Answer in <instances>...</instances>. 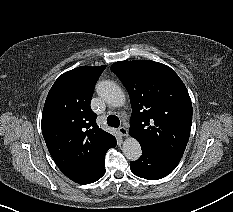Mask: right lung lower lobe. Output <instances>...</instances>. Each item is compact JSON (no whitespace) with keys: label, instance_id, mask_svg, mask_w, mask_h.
Segmentation results:
<instances>
[{"label":"right lung lower lobe","instance_id":"1","mask_svg":"<svg viewBox=\"0 0 233 212\" xmlns=\"http://www.w3.org/2000/svg\"><path fill=\"white\" fill-rule=\"evenodd\" d=\"M116 139L115 137H113V139L110 141L109 143V146H108V149L112 148V147H115L116 146ZM105 174V164L104 162L101 164V167L98 171V173L96 174V176L94 177L93 181L92 182H95L97 181L99 178H101L103 175ZM90 182V183H92Z\"/></svg>","mask_w":233,"mask_h":212}]
</instances>
